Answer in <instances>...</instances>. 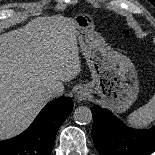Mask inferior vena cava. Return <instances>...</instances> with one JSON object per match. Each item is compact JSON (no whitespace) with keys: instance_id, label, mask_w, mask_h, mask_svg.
<instances>
[{"instance_id":"1","label":"inferior vena cava","mask_w":155,"mask_h":155,"mask_svg":"<svg viewBox=\"0 0 155 155\" xmlns=\"http://www.w3.org/2000/svg\"><path fill=\"white\" fill-rule=\"evenodd\" d=\"M63 90H64L63 87L59 85H50L44 89L43 95L47 99H51L61 95L63 93Z\"/></svg>"}]
</instances>
